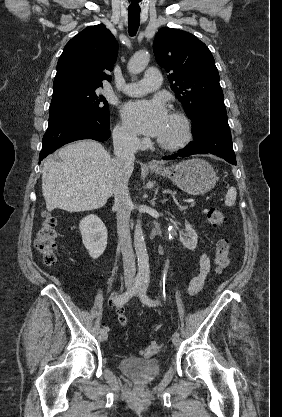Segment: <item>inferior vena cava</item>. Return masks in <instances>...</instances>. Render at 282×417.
Here are the masks:
<instances>
[{
	"instance_id": "602c4592",
	"label": "inferior vena cava",
	"mask_w": 282,
	"mask_h": 417,
	"mask_svg": "<svg viewBox=\"0 0 282 417\" xmlns=\"http://www.w3.org/2000/svg\"><path fill=\"white\" fill-rule=\"evenodd\" d=\"M115 176L113 194L114 209L117 211V233L120 241L124 279L135 281L136 265L131 243L129 219L131 213V198L128 190V178L133 170L134 152L137 150V140L124 130H113Z\"/></svg>"
}]
</instances>
